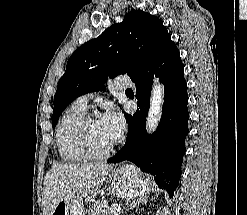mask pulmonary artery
I'll return each instance as SVG.
<instances>
[{
    "instance_id": "e3ab8cb5",
    "label": "pulmonary artery",
    "mask_w": 247,
    "mask_h": 215,
    "mask_svg": "<svg viewBox=\"0 0 247 215\" xmlns=\"http://www.w3.org/2000/svg\"><path fill=\"white\" fill-rule=\"evenodd\" d=\"M114 86L116 89H125V88H130L133 86V82L129 77L126 76H117L115 82H114ZM90 98V95H83L80 96L76 99L75 103L86 109L87 106V102Z\"/></svg>"
}]
</instances>
